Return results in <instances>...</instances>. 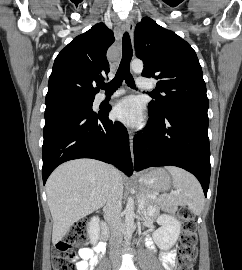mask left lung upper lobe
Returning <instances> with one entry per match:
<instances>
[{"label":"left lung upper lobe","instance_id":"left-lung-upper-lobe-1","mask_svg":"<svg viewBox=\"0 0 242 270\" xmlns=\"http://www.w3.org/2000/svg\"><path fill=\"white\" fill-rule=\"evenodd\" d=\"M134 43L137 57L144 62L142 76L159 80L158 99L148 109L157 116L181 108L208 109L202 68L185 40L145 17L136 26Z\"/></svg>","mask_w":242,"mask_h":270}]
</instances>
